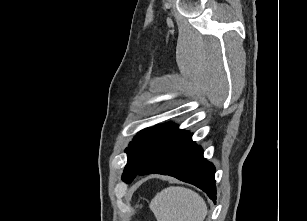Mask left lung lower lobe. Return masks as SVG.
Returning a JSON list of instances; mask_svg holds the SVG:
<instances>
[{
    "instance_id": "left-lung-lower-lobe-1",
    "label": "left lung lower lobe",
    "mask_w": 307,
    "mask_h": 221,
    "mask_svg": "<svg viewBox=\"0 0 307 221\" xmlns=\"http://www.w3.org/2000/svg\"><path fill=\"white\" fill-rule=\"evenodd\" d=\"M150 173L170 175L191 183L216 202L215 168L204 159L202 148L192 141L188 132L138 172L139 175Z\"/></svg>"
}]
</instances>
